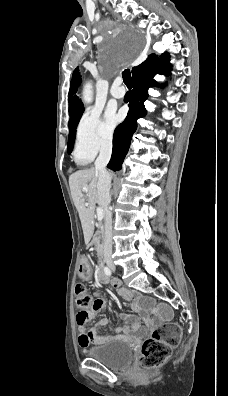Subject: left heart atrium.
<instances>
[{"instance_id":"39dd6f15","label":"left heart atrium","mask_w":228,"mask_h":396,"mask_svg":"<svg viewBox=\"0 0 228 396\" xmlns=\"http://www.w3.org/2000/svg\"><path fill=\"white\" fill-rule=\"evenodd\" d=\"M106 120L110 127H114L120 121V117L113 109H108L106 112Z\"/></svg>"}]
</instances>
